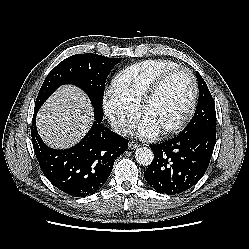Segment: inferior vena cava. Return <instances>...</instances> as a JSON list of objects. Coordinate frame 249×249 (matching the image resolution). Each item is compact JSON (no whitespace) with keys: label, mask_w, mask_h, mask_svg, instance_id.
I'll list each match as a JSON object with an SVG mask.
<instances>
[{"label":"inferior vena cava","mask_w":249,"mask_h":249,"mask_svg":"<svg viewBox=\"0 0 249 249\" xmlns=\"http://www.w3.org/2000/svg\"><path fill=\"white\" fill-rule=\"evenodd\" d=\"M112 129L121 136H127L133 134V127L122 121H112Z\"/></svg>","instance_id":"602c4592"}]
</instances>
